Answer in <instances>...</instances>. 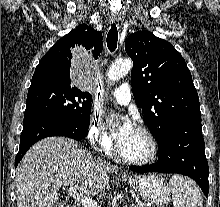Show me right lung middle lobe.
Listing matches in <instances>:
<instances>
[{
    "label": "right lung middle lobe",
    "instance_id": "obj_1",
    "mask_svg": "<svg viewBox=\"0 0 220 207\" xmlns=\"http://www.w3.org/2000/svg\"><path fill=\"white\" fill-rule=\"evenodd\" d=\"M92 96L77 87L56 84L30 86L24 117L46 114L89 123Z\"/></svg>",
    "mask_w": 220,
    "mask_h": 207
}]
</instances>
